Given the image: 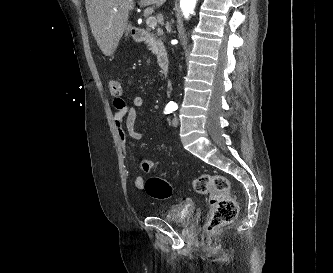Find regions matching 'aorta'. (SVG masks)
I'll return each instance as SVG.
<instances>
[{
	"mask_svg": "<svg viewBox=\"0 0 333 273\" xmlns=\"http://www.w3.org/2000/svg\"><path fill=\"white\" fill-rule=\"evenodd\" d=\"M197 0H180V8L186 19L193 14L194 8L196 6Z\"/></svg>",
	"mask_w": 333,
	"mask_h": 273,
	"instance_id": "aorta-1",
	"label": "aorta"
}]
</instances>
